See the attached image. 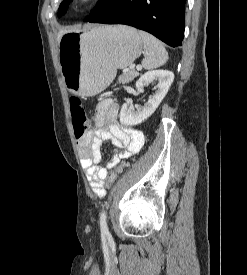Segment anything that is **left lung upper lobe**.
Returning a JSON list of instances; mask_svg holds the SVG:
<instances>
[{"label": "left lung upper lobe", "instance_id": "1", "mask_svg": "<svg viewBox=\"0 0 247 275\" xmlns=\"http://www.w3.org/2000/svg\"><path fill=\"white\" fill-rule=\"evenodd\" d=\"M109 0H99L97 7L92 11L91 15L87 17L86 21H88L92 16H94L99 10H101ZM71 2V0H64L59 7L58 16L60 17L65 13V10L67 9L68 4Z\"/></svg>", "mask_w": 247, "mask_h": 275}]
</instances>
